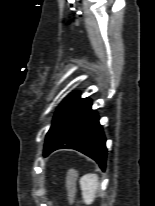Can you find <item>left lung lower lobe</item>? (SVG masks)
<instances>
[{"instance_id":"0a47b994","label":"left lung lower lobe","mask_w":155,"mask_h":206,"mask_svg":"<svg viewBox=\"0 0 155 206\" xmlns=\"http://www.w3.org/2000/svg\"><path fill=\"white\" fill-rule=\"evenodd\" d=\"M105 142L98 114L90 108L66 134L44 150V156L57 149H75L94 159L100 168L105 170L107 155Z\"/></svg>"}]
</instances>
